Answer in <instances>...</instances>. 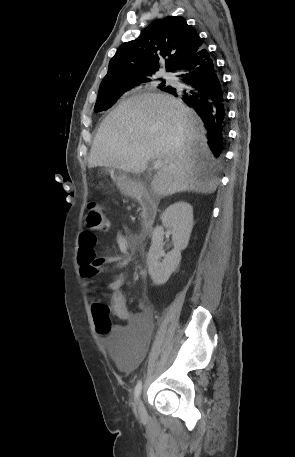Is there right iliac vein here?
<instances>
[{"instance_id":"obj_1","label":"right iliac vein","mask_w":295,"mask_h":457,"mask_svg":"<svg viewBox=\"0 0 295 457\" xmlns=\"http://www.w3.org/2000/svg\"><path fill=\"white\" fill-rule=\"evenodd\" d=\"M138 411H139V413H143V411H144L143 404L140 400L138 402Z\"/></svg>"}]
</instances>
